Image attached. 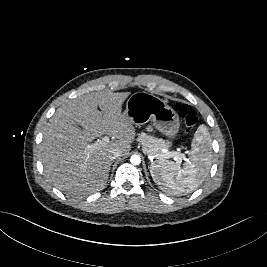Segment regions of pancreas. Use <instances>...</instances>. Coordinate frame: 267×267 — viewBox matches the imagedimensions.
<instances>
[{"label": "pancreas", "mask_w": 267, "mask_h": 267, "mask_svg": "<svg viewBox=\"0 0 267 267\" xmlns=\"http://www.w3.org/2000/svg\"><path fill=\"white\" fill-rule=\"evenodd\" d=\"M139 143L142 145V150L144 153L149 155H154L157 158L161 159V151L170 146L168 141L147 135L145 133L139 134L138 137Z\"/></svg>", "instance_id": "1"}]
</instances>
